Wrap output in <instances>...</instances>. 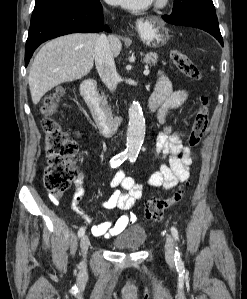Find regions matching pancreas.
Wrapping results in <instances>:
<instances>
[{
	"mask_svg": "<svg viewBox=\"0 0 247 299\" xmlns=\"http://www.w3.org/2000/svg\"><path fill=\"white\" fill-rule=\"evenodd\" d=\"M158 60V55L156 53H147L144 56V62L150 65H155Z\"/></svg>",
	"mask_w": 247,
	"mask_h": 299,
	"instance_id": "pancreas-1",
	"label": "pancreas"
}]
</instances>
